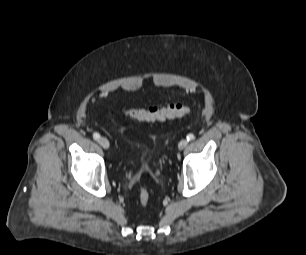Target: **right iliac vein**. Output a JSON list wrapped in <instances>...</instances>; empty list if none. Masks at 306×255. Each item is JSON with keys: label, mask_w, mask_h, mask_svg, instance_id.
Masks as SVG:
<instances>
[{"label": "right iliac vein", "mask_w": 306, "mask_h": 255, "mask_svg": "<svg viewBox=\"0 0 306 255\" xmlns=\"http://www.w3.org/2000/svg\"><path fill=\"white\" fill-rule=\"evenodd\" d=\"M98 143L104 148L108 149L110 144L109 141L105 137H101L98 139Z\"/></svg>", "instance_id": "1"}]
</instances>
